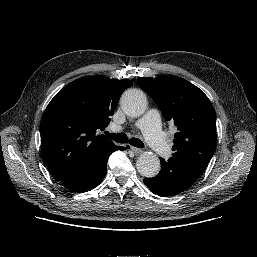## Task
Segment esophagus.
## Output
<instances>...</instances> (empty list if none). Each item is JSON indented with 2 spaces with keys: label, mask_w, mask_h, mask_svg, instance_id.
<instances>
[{
  "label": "esophagus",
  "mask_w": 257,
  "mask_h": 257,
  "mask_svg": "<svg viewBox=\"0 0 257 257\" xmlns=\"http://www.w3.org/2000/svg\"><path fill=\"white\" fill-rule=\"evenodd\" d=\"M131 150L135 153V154H141L143 152L142 149L140 148H136V147H131Z\"/></svg>",
  "instance_id": "obj_1"
}]
</instances>
